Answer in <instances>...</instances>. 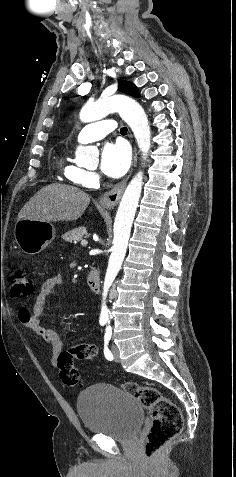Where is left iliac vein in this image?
Segmentation results:
<instances>
[{"label": "left iliac vein", "instance_id": "1", "mask_svg": "<svg viewBox=\"0 0 236 477\" xmlns=\"http://www.w3.org/2000/svg\"><path fill=\"white\" fill-rule=\"evenodd\" d=\"M112 353L114 355V359L118 362L120 360V355L116 345H112Z\"/></svg>", "mask_w": 236, "mask_h": 477}]
</instances>
